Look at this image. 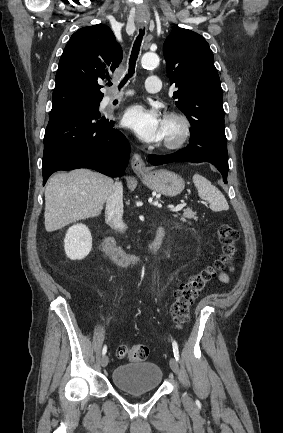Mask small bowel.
<instances>
[{
  "label": "small bowel",
  "instance_id": "small-bowel-1",
  "mask_svg": "<svg viewBox=\"0 0 283 433\" xmlns=\"http://www.w3.org/2000/svg\"><path fill=\"white\" fill-rule=\"evenodd\" d=\"M219 279H220L222 282H228L229 276H228V274H226V273H221L220 276H219Z\"/></svg>",
  "mask_w": 283,
  "mask_h": 433
}]
</instances>
